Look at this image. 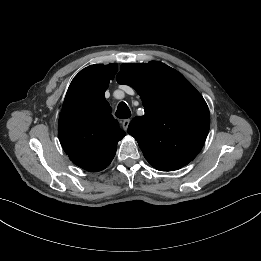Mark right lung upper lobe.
I'll list each match as a JSON object with an SVG mask.
<instances>
[{
    "label": "right lung upper lobe",
    "instance_id": "obj_1",
    "mask_svg": "<svg viewBox=\"0 0 261 261\" xmlns=\"http://www.w3.org/2000/svg\"><path fill=\"white\" fill-rule=\"evenodd\" d=\"M117 72V64L91 65L72 80L59 117L62 148L77 166L91 172L105 169L116 145L125 136L111 115L104 93Z\"/></svg>",
    "mask_w": 261,
    "mask_h": 261
}]
</instances>
